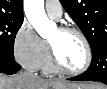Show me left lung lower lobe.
Here are the masks:
<instances>
[{"label":"left lung lower lobe","mask_w":107,"mask_h":89,"mask_svg":"<svg viewBox=\"0 0 107 89\" xmlns=\"http://www.w3.org/2000/svg\"><path fill=\"white\" fill-rule=\"evenodd\" d=\"M69 80L99 81L107 84V43L92 51V62L87 71Z\"/></svg>","instance_id":"left-lung-lower-lobe-1"}]
</instances>
